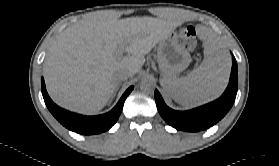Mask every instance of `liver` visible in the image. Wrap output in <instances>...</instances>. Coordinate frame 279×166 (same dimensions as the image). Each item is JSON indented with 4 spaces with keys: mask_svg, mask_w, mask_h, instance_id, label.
<instances>
[{
    "mask_svg": "<svg viewBox=\"0 0 279 166\" xmlns=\"http://www.w3.org/2000/svg\"><path fill=\"white\" fill-rule=\"evenodd\" d=\"M178 25L174 12H167L164 18L125 19L98 12L66 28L53 43L44 64L50 97L74 112H99L116 89V71L131 67L138 72L145 63L144 56ZM121 44L130 56L116 55Z\"/></svg>",
    "mask_w": 279,
    "mask_h": 166,
    "instance_id": "obj_1",
    "label": "liver"
}]
</instances>
